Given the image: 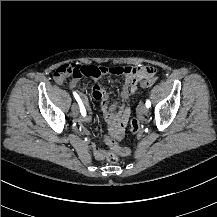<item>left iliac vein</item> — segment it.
<instances>
[{
    "instance_id": "left-iliac-vein-1",
    "label": "left iliac vein",
    "mask_w": 217,
    "mask_h": 217,
    "mask_svg": "<svg viewBox=\"0 0 217 217\" xmlns=\"http://www.w3.org/2000/svg\"><path fill=\"white\" fill-rule=\"evenodd\" d=\"M139 111L141 114H145V115L148 114V112H149L148 108L145 105H140Z\"/></svg>"
}]
</instances>
